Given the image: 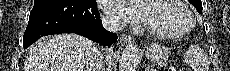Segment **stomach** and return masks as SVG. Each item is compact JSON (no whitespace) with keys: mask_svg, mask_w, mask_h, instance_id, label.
Returning a JSON list of instances; mask_svg holds the SVG:
<instances>
[{"mask_svg":"<svg viewBox=\"0 0 230 71\" xmlns=\"http://www.w3.org/2000/svg\"><path fill=\"white\" fill-rule=\"evenodd\" d=\"M169 55V49L158 44H152L145 51V57L153 62L166 61L169 58Z\"/></svg>","mask_w":230,"mask_h":71,"instance_id":"stomach-1","label":"stomach"}]
</instances>
